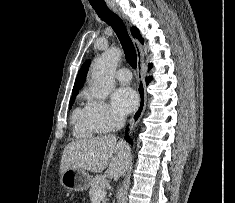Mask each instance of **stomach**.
<instances>
[{
    "mask_svg": "<svg viewBox=\"0 0 235 203\" xmlns=\"http://www.w3.org/2000/svg\"><path fill=\"white\" fill-rule=\"evenodd\" d=\"M92 180V176L83 169L70 168L60 176V184L69 191L87 190Z\"/></svg>",
    "mask_w": 235,
    "mask_h": 203,
    "instance_id": "obj_1",
    "label": "stomach"
}]
</instances>
